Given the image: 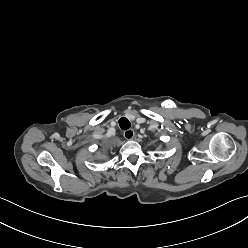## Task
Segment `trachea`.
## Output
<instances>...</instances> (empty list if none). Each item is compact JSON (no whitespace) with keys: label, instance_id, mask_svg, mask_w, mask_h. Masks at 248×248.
<instances>
[{"label":"trachea","instance_id":"trachea-1","mask_svg":"<svg viewBox=\"0 0 248 248\" xmlns=\"http://www.w3.org/2000/svg\"><path fill=\"white\" fill-rule=\"evenodd\" d=\"M119 126L122 130H127L131 127V123L126 117H122L119 119Z\"/></svg>","mask_w":248,"mask_h":248}]
</instances>
